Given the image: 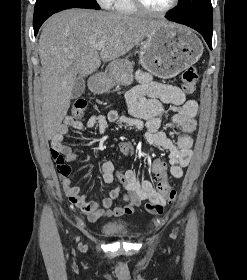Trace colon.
<instances>
[{
    "mask_svg": "<svg viewBox=\"0 0 247 280\" xmlns=\"http://www.w3.org/2000/svg\"><path fill=\"white\" fill-rule=\"evenodd\" d=\"M198 81V72L194 67L185 69L182 73V88L186 93L194 92ZM87 107V102L84 99H78L74 102L71 112L75 118H82ZM120 151L127 156H132L135 152L134 145L131 142H124L120 145ZM57 164L59 174H66L71 171L70 167L65 163L60 155H53ZM152 172L157 180L156 190L167 200L172 201L176 196V191L167 182V166L166 163L156 159L152 166ZM125 174H120L116 178V182L112 184L114 191H126L131 182L127 179Z\"/></svg>",
    "mask_w": 247,
    "mask_h": 280,
    "instance_id": "colon-1",
    "label": "colon"
}]
</instances>
